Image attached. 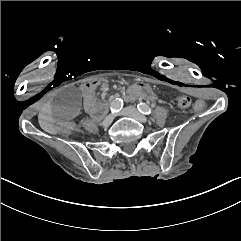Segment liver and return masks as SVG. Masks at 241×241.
Returning <instances> with one entry per match:
<instances>
[{
	"instance_id": "1",
	"label": "liver",
	"mask_w": 241,
	"mask_h": 241,
	"mask_svg": "<svg viewBox=\"0 0 241 241\" xmlns=\"http://www.w3.org/2000/svg\"><path fill=\"white\" fill-rule=\"evenodd\" d=\"M39 124L43 130H45L48 133L56 134V130L53 128L52 124L50 122L52 121V117L49 115H40L39 116Z\"/></svg>"
}]
</instances>
